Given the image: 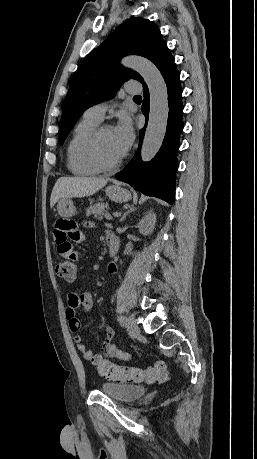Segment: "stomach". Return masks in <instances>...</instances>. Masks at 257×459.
I'll list each match as a JSON object with an SVG mask.
<instances>
[{
	"label": "stomach",
	"mask_w": 257,
	"mask_h": 459,
	"mask_svg": "<svg viewBox=\"0 0 257 459\" xmlns=\"http://www.w3.org/2000/svg\"><path fill=\"white\" fill-rule=\"evenodd\" d=\"M105 192L109 199L114 202L122 203L131 199L130 192L119 185L108 186ZM57 211L61 217H72L76 214L74 203L69 198L59 199Z\"/></svg>",
	"instance_id": "1"
}]
</instances>
